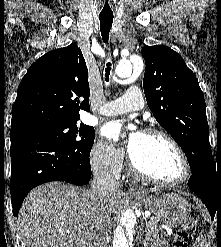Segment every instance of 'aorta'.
I'll use <instances>...</instances> for the list:
<instances>
[{"instance_id": "obj_1", "label": "aorta", "mask_w": 221, "mask_h": 247, "mask_svg": "<svg viewBox=\"0 0 221 247\" xmlns=\"http://www.w3.org/2000/svg\"><path fill=\"white\" fill-rule=\"evenodd\" d=\"M143 69V61L138 57H131L121 61L115 68V74L122 79L137 76ZM113 247H132L130 235L123 224H119L113 233Z\"/></svg>"}]
</instances>
